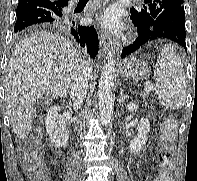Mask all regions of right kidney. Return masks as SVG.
Here are the masks:
<instances>
[{
    "label": "right kidney",
    "mask_w": 197,
    "mask_h": 181,
    "mask_svg": "<svg viewBox=\"0 0 197 181\" xmlns=\"http://www.w3.org/2000/svg\"><path fill=\"white\" fill-rule=\"evenodd\" d=\"M60 107L53 106L47 110L45 126L49 141L55 147H65L69 138V130L64 118L59 114Z\"/></svg>",
    "instance_id": "right-kidney-1"
}]
</instances>
